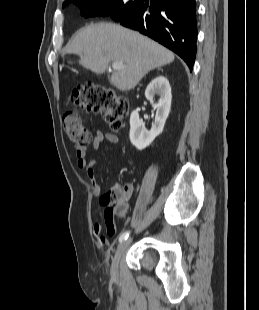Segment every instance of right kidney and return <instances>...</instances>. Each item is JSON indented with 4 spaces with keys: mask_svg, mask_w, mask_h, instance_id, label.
<instances>
[{
    "mask_svg": "<svg viewBox=\"0 0 259 310\" xmlns=\"http://www.w3.org/2000/svg\"><path fill=\"white\" fill-rule=\"evenodd\" d=\"M156 94L160 98L156 105L155 121L150 131L145 128L140 120L138 110H134L130 116V141L138 150L145 149L162 133L170 112L172 99L171 87L168 79L162 75L153 79L145 90V97L151 103L154 102Z\"/></svg>",
    "mask_w": 259,
    "mask_h": 310,
    "instance_id": "1",
    "label": "right kidney"
}]
</instances>
